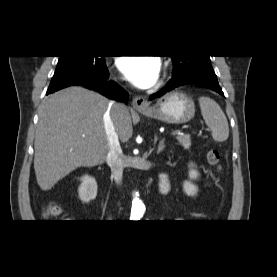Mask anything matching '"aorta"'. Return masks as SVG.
<instances>
[{"mask_svg":"<svg viewBox=\"0 0 277 277\" xmlns=\"http://www.w3.org/2000/svg\"><path fill=\"white\" fill-rule=\"evenodd\" d=\"M138 196V193H135L132 201L131 218L134 220L140 219L145 212V206Z\"/></svg>","mask_w":277,"mask_h":277,"instance_id":"762f6f07","label":"aorta"}]
</instances>
